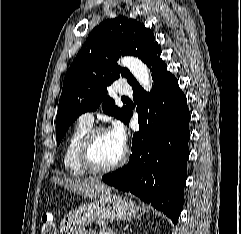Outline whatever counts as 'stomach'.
<instances>
[{
    "instance_id": "stomach-1",
    "label": "stomach",
    "mask_w": 241,
    "mask_h": 234,
    "mask_svg": "<svg viewBox=\"0 0 241 234\" xmlns=\"http://www.w3.org/2000/svg\"><path fill=\"white\" fill-rule=\"evenodd\" d=\"M137 212L138 207L132 200L107 192L71 211L61 221L60 234H87L85 227L93 221L129 220Z\"/></svg>"
}]
</instances>
